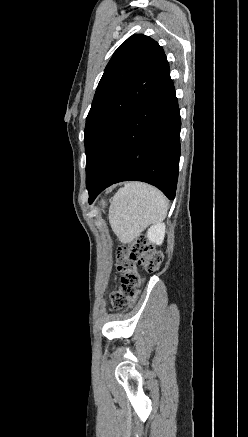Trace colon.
Masks as SVG:
<instances>
[{
	"label": "colon",
	"mask_w": 248,
	"mask_h": 437,
	"mask_svg": "<svg viewBox=\"0 0 248 437\" xmlns=\"http://www.w3.org/2000/svg\"><path fill=\"white\" fill-rule=\"evenodd\" d=\"M115 257L121 279L118 290L111 294V305L114 309H123L134 302L138 295L142 278L137 267L153 273L161 266L163 255L148 241L137 239L119 246Z\"/></svg>",
	"instance_id": "obj_1"
}]
</instances>
